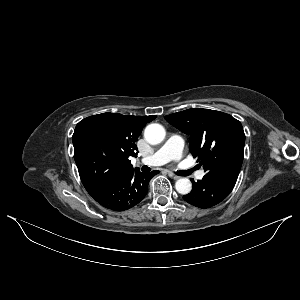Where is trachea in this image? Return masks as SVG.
<instances>
[{"label": "trachea", "instance_id": "3493384b", "mask_svg": "<svg viewBox=\"0 0 300 300\" xmlns=\"http://www.w3.org/2000/svg\"><path fill=\"white\" fill-rule=\"evenodd\" d=\"M150 170H151V168L148 167V166H143V167H142V171H143V172H149ZM194 170H195V168L190 169V170L178 171L176 174L179 175V176H188V175H190Z\"/></svg>", "mask_w": 300, "mask_h": 300}]
</instances>
